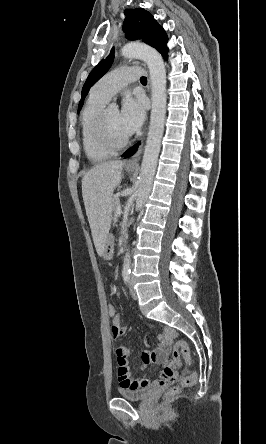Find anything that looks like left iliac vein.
<instances>
[{"instance_id":"4c4485c4","label":"left iliac vein","mask_w":266,"mask_h":444,"mask_svg":"<svg viewBox=\"0 0 266 444\" xmlns=\"http://www.w3.org/2000/svg\"><path fill=\"white\" fill-rule=\"evenodd\" d=\"M129 290H130V294H131L132 298L136 300L137 299V293H136V290L133 287L132 281H130V283H129Z\"/></svg>"}]
</instances>
